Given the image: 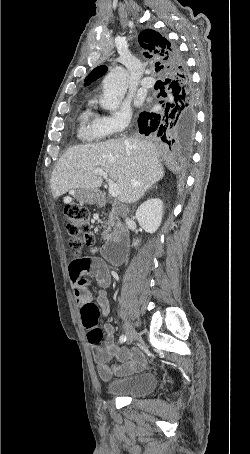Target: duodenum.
<instances>
[{"instance_id": "410a0bca", "label": "duodenum", "mask_w": 250, "mask_h": 454, "mask_svg": "<svg viewBox=\"0 0 250 454\" xmlns=\"http://www.w3.org/2000/svg\"><path fill=\"white\" fill-rule=\"evenodd\" d=\"M106 198L100 196V203L106 204ZM129 244L128 229L118 227L108 243L103 246V257L111 265H122L125 259Z\"/></svg>"}]
</instances>
